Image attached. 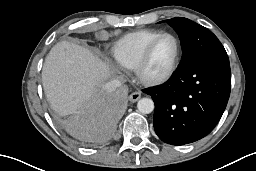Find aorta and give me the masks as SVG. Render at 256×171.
I'll list each match as a JSON object with an SVG mask.
<instances>
[{"instance_id":"aorta-1","label":"aorta","mask_w":256,"mask_h":171,"mask_svg":"<svg viewBox=\"0 0 256 171\" xmlns=\"http://www.w3.org/2000/svg\"><path fill=\"white\" fill-rule=\"evenodd\" d=\"M137 108L142 114H149L154 110V102L150 98H142L138 101Z\"/></svg>"}]
</instances>
